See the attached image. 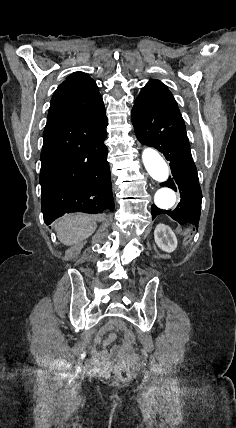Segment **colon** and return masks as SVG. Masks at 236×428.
Listing matches in <instances>:
<instances>
[{
    "label": "colon",
    "instance_id": "5ec220e1",
    "mask_svg": "<svg viewBox=\"0 0 236 428\" xmlns=\"http://www.w3.org/2000/svg\"><path fill=\"white\" fill-rule=\"evenodd\" d=\"M124 342L127 346H131L135 343V336L131 331H127L124 334ZM114 377L117 381L126 382L130 379L131 373L126 365H118L114 369Z\"/></svg>",
    "mask_w": 236,
    "mask_h": 428
}]
</instances>
